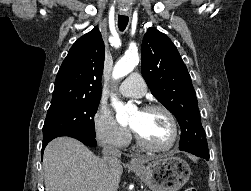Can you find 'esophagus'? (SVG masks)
<instances>
[{
  "mask_svg": "<svg viewBox=\"0 0 251 191\" xmlns=\"http://www.w3.org/2000/svg\"><path fill=\"white\" fill-rule=\"evenodd\" d=\"M131 166H139L140 160L138 158H132L129 163Z\"/></svg>",
  "mask_w": 251,
  "mask_h": 191,
  "instance_id": "34e87169",
  "label": "esophagus"
}]
</instances>
